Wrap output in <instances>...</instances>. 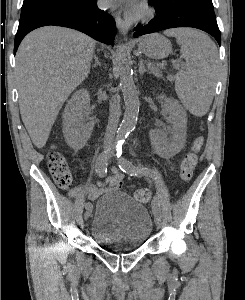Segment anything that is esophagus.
I'll list each match as a JSON object with an SVG mask.
<instances>
[{"label": "esophagus", "instance_id": "1", "mask_svg": "<svg viewBox=\"0 0 245 300\" xmlns=\"http://www.w3.org/2000/svg\"><path fill=\"white\" fill-rule=\"evenodd\" d=\"M115 22L119 31L126 36L130 29V23L124 21L119 15H115Z\"/></svg>", "mask_w": 245, "mask_h": 300}]
</instances>
